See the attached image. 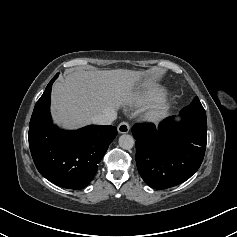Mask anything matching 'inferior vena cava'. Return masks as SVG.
Masks as SVG:
<instances>
[{
	"label": "inferior vena cava",
	"instance_id": "obj_1",
	"mask_svg": "<svg viewBox=\"0 0 237 237\" xmlns=\"http://www.w3.org/2000/svg\"><path fill=\"white\" fill-rule=\"evenodd\" d=\"M117 117L115 110H110L104 114H99L95 116L92 120L94 124L97 125H110Z\"/></svg>",
	"mask_w": 237,
	"mask_h": 237
}]
</instances>
